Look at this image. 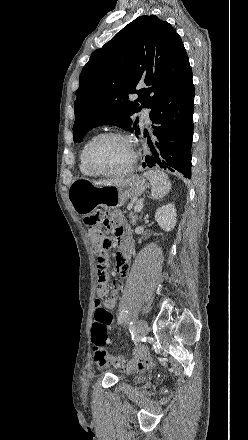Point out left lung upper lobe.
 I'll return each mask as SVG.
<instances>
[{
	"mask_svg": "<svg viewBox=\"0 0 248 440\" xmlns=\"http://www.w3.org/2000/svg\"><path fill=\"white\" fill-rule=\"evenodd\" d=\"M191 80L189 59L176 30L155 15L138 17L94 51L83 67L74 102V142L103 124L138 135V122L131 116L144 107L153 113L167 94ZM134 93L139 97L131 101Z\"/></svg>",
	"mask_w": 248,
	"mask_h": 440,
	"instance_id": "5c2ea615",
	"label": "left lung upper lobe"
}]
</instances>
